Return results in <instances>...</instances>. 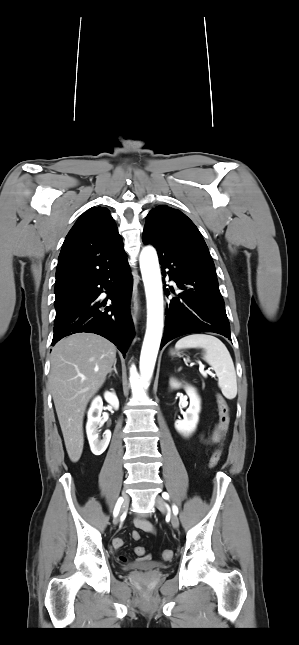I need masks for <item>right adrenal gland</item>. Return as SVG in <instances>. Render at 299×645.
Masks as SVG:
<instances>
[{
  "mask_svg": "<svg viewBox=\"0 0 299 645\" xmlns=\"http://www.w3.org/2000/svg\"><path fill=\"white\" fill-rule=\"evenodd\" d=\"M116 363H117V361H115V362H114V364H113V368H112V369L110 370V372H109V378H110V376L112 375V372H113V371L115 372V374H116V375H118V372H117V369H116Z\"/></svg>",
  "mask_w": 299,
  "mask_h": 645,
  "instance_id": "1",
  "label": "right adrenal gland"
}]
</instances>
